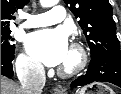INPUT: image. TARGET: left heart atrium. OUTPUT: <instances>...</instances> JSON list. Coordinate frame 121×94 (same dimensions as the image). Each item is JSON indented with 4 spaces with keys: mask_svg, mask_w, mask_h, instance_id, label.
Segmentation results:
<instances>
[{
    "mask_svg": "<svg viewBox=\"0 0 121 94\" xmlns=\"http://www.w3.org/2000/svg\"><path fill=\"white\" fill-rule=\"evenodd\" d=\"M27 47L34 58L47 66L61 65L69 52L66 34L58 29H46L31 34Z\"/></svg>",
    "mask_w": 121,
    "mask_h": 94,
    "instance_id": "left-heart-atrium-1",
    "label": "left heart atrium"
}]
</instances>
